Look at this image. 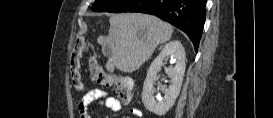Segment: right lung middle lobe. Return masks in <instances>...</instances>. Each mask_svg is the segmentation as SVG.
Listing matches in <instances>:
<instances>
[{"mask_svg": "<svg viewBox=\"0 0 273 118\" xmlns=\"http://www.w3.org/2000/svg\"><path fill=\"white\" fill-rule=\"evenodd\" d=\"M128 0H96L91 10L95 12H115Z\"/></svg>", "mask_w": 273, "mask_h": 118, "instance_id": "dd1d6c3e", "label": "right lung middle lobe"}]
</instances>
